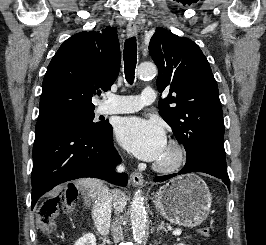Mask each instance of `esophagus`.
<instances>
[{"label": "esophagus", "mask_w": 266, "mask_h": 245, "mask_svg": "<svg viewBox=\"0 0 266 245\" xmlns=\"http://www.w3.org/2000/svg\"><path fill=\"white\" fill-rule=\"evenodd\" d=\"M138 33V26L134 20H130L127 25V36L134 37ZM130 180L135 187H141L144 183V178L140 173L133 172L130 175Z\"/></svg>", "instance_id": "1"}]
</instances>
